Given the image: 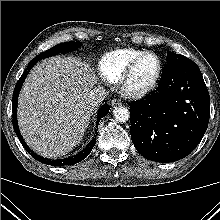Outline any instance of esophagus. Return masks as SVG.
Returning <instances> with one entry per match:
<instances>
[{
    "mask_svg": "<svg viewBox=\"0 0 220 220\" xmlns=\"http://www.w3.org/2000/svg\"><path fill=\"white\" fill-rule=\"evenodd\" d=\"M111 105H112L113 107H115V106H117V105H121V100L115 98V99L112 100Z\"/></svg>",
    "mask_w": 220,
    "mask_h": 220,
    "instance_id": "obj_1",
    "label": "esophagus"
}]
</instances>
